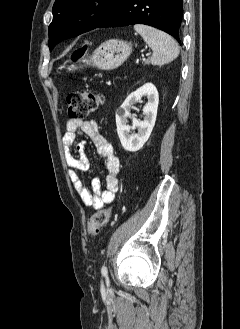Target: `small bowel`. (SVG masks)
Here are the masks:
<instances>
[{"label": "small bowel", "mask_w": 240, "mask_h": 329, "mask_svg": "<svg viewBox=\"0 0 240 329\" xmlns=\"http://www.w3.org/2000/svg\"><path fill=\"white\" fill-rule=\"evenodd\" d=\"M78 130L88 136L93 142L98 154L104 158V168L107 172L106 186L103 189L99 178L92 180L91 189L84 183L78 171H85L89 162L85 154L84 142H77ZM63 151L67 165L71 168L70 178L74 188L86 206L96 210L114 202L119 190V160L113 153V147L99 131L95 121L71 119L67 122L66 133L62 139ZM73 145L79 153L80 158L73 154Z\"/></svg>", "instance_id": "small-bowel-1"}]
</instances>
